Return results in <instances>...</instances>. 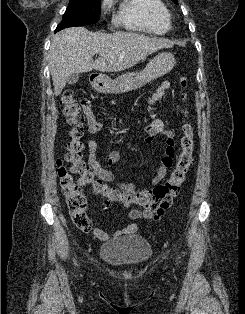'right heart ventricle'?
Here are the masks:
<instances>
[{
	"label": "right heart ventricle",
	"mask_w": 245,
	"mask_h": 314,
	"mask_svg": "<svg viewBox=\"0 0 245 314\" xmlns=\"http://www.w3.org/2000/svg\"><path fill=\"white\" fill-rule=\"evenodd\" d=\"M115 22L128 30L151 34H164L171 28L163 0H122Z\"/></svg>",
	"instance_id": "right-heart-ventricle-1"
}]
</instances>
